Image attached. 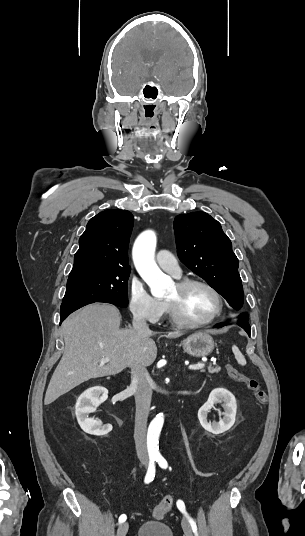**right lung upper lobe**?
<instances>
[{"label":"right lung upper lobe","mask_w":305,"mask_h":536,"mask_svg":"<svg viewBox=\"0 0 305 536\" xmlns=\"http://www.w3.org/2000/svg\"><path fill=\"white\" fill-rule=\"evenodd\" d=\"M134 218L127 210L103 211L87 224L69 277L110 271H131L128 243Z\"/></svg>","instance_id":"right-lung-upper-lobe-1"}]
</instances>
